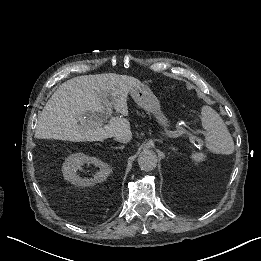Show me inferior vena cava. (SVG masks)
Instances as JSON below:
<instances>
[{
  "label": "inferior vena cava",
  "instance_id": "1",
  "mask_svg": "<svg viewBox=\"0 0 261 261\" xmlns=\"http://www.w3.org/2000/svg\"><path fill=\"white\" fill-rule=\"evenodd\" d=\"M115 140L121 143H127L131 140V137L129 135H123V136L115 137Z\"/></svg>",
  "mask_w": 261,
  "mask_h": 261
}]
</instances>
